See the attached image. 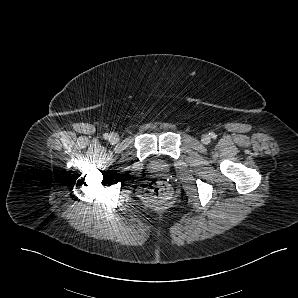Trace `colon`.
Instances as JSON below:
<instances>
[{"mask_svg":"<svg viewBox=\"0 0 298 298\" xmlns=\"http://www.w3.org/2000/svg\"><path fill=\"white\" fill-rule=\"evenodd\" d=\"M172 198L170 185L163 180L152 181L144 193V199L153 204H166Z\"/></svg>","mask_w":298,"mask_h":298,"instance_id":"obj_1","label":"colon"}]
</instances>
